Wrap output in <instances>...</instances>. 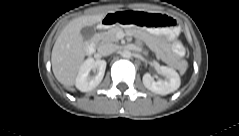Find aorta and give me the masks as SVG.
I'll return each instance as SVG.
<instances>
[{"mask_svg": "<svg viewBox=\"0 0 239 136\" xmlns=\"http://www.w3.org/2000/svg\"><path fill=\"white\" fill-rule=\"evenodd\" d=\"M121 55L123 58H130L132 56V53L129 49H124Z\"/></svg>", "mask_w": 239, "mask_h": 136, "instance_id": "762f6f07", "label": "aorta"}]
</instances>
